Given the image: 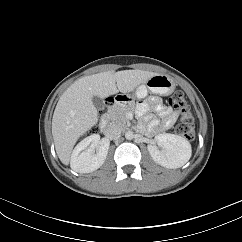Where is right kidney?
<instances>
[{
  "label": "right kidney",
  "instance_id": "obj_1",
  "mask_svg": "<svg viewBox=\"0 0 242 242\" xmlns=\"http://www.w3.org/2000/svg\"><path fill=\"white\" fill-rule=\"evenodd\" d=\"M88 146L89 148H87ZM108 149L109 141L100 139L98 134L84 138L72 152L71 168L78 173H89L97 170L103 165Z\"/></svg>",
  "mask_w": 242,
  "mask_h": 242
}]
</instances>
